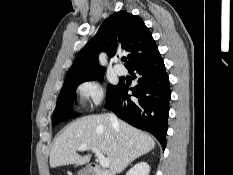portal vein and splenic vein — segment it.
<instances>
[{"instance_id": "obj_1", "label": "portal vein and splenic vein", "mask_w": 233, "mask_h": 175, "mask_svg": "<svg viewBox=\"0 0 233 175\" xmlns=\"http://www.w3.org/2000/svg\"><path fill=\"white\" fill-rule=\"evenodd\" d=\"M91 149L95 155L97 156L99 162H100V165L103 167V168H107L109 167L110 165V159L106 158L100 150H98L97 148L93 147L91 148L90 146L86 145V144H83L81 146L78 147V150L79 151H85V150H89Z\"/></svg>"}]
</instances>
